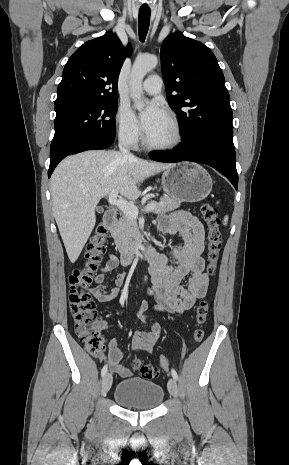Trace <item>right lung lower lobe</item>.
<instances>
[{
    "label": "right lung lower lobe",
    "mask_w": 289,
    "mask_h": 465,
    "mask_svg": "<svg viewBox=\"0 0 289 465\" xmlns=\"http://www.w3.org/2000/svg\"><path fill=\"white\" fill-rule=\"evenodd\" d=\"M113 141H114V138L90 139V140L83 141V142L75 145L73 148L64 151L63 153L57 155L55 158L50 159L48 177L50 178V176H51L52 172L54 171L55 167L66 156L71 155V154H76V153L86 151V150L104 149V148L109 147L112 144Z\"/></svg>",
    "instance_id": "obj_1"
}]
</instances>
